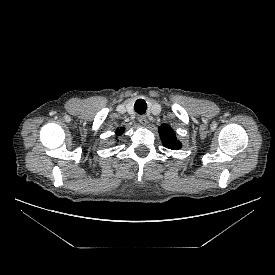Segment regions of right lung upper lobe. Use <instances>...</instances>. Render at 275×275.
Wrapping results in <instances>:
<instances>
[{
  "label": "right lung upper lobe",
  "instance_id": "cb5924a9",
  "mask_svg": "<svg viewBox=\"0 0 275 275\" xmlns=\"http://www.w3.org/2000/svg\"><path fill=\"white\" fill-rule=\"evenodd\" d=\"M124 130H125L124 128L117 129L116 134L120 135V134H122L124 132Z\"/></svg>",
  "mask_w": 275,
  "mask_h": 275
}]
</instances>
